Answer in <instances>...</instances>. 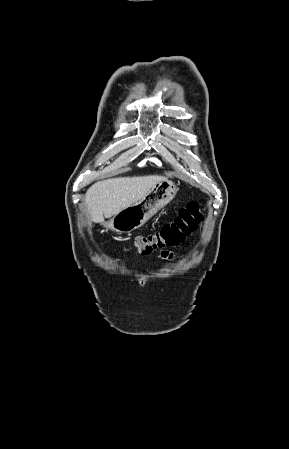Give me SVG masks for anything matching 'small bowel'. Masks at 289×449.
I'll return each instance as SVG.
<instances>
[{"label":"small bowel","instance_id":"1","mask_svg":"<svg viewBox=\"0 0 289 449\" xmlns=\"http://www.w3.org/2000/svg\"><path fill=\"white\" fill-rule=\"evenodd\" d=\"M161 256H162V258L168 259V260H172L174 258V254L167 250L161 251Z\"/></svg>","mask_w":289,"mask_h":449}]
</instances>
